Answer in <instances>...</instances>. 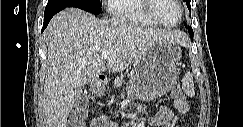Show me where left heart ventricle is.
<instances>
[{
	"label": "left heart ventricle",
	"instance_id": "obj_1",
	"mask_svg": "<svg viewBox=\"0 0 243 127\" xmlns=\"http://www.w3.org/2000/svg\"><path fill=\"white\" fill-rule=\"evenodd\" d=\"M155 13L167 24H174L180 18V9L174 0H156Z\"/></svg>",
	"mask_w": 243,
	"mask_h": 127
}]
</instances>
